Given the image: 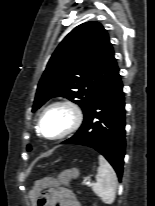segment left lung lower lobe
<instances>
[{"label":"left lung lower lobe","mask_w":155,"mask_h":206,"mask_svg":"<svg viewBox=\"0 0 155 206\" xmlns=\"http://www.w3.org/2000/svg\"><path fill=\"white\" fill-rule=\"evenodd\" d=\"M119 69L106 82L84 113V121L62 144H77L101 153L122 178L125 155V102Z\"/></svg>","instance_id":"obj_1"}]
</instances>
